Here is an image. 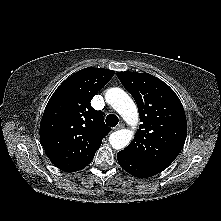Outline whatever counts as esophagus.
Segmentation results:
<instances>
[{"label":"esophagus","instance_id":"34e87169","mask_svg":"<svg viewBox=\"0 0 221 221\" xmlns=\"http://www.w3.org/2000/svg\"><path fill=\"white\" fill-rule=\"evenodd\" d=\"M122 128H124V124H123V123H120V124H118V125L114 128V130H120V129H122Z\"/></svg>","mask_w":221,"mask_h":221}]
</instances>
